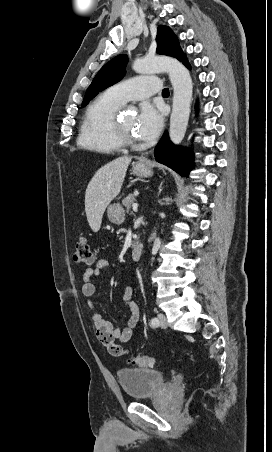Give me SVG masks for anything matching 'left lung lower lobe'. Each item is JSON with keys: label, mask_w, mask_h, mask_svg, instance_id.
I'll use <instances>...</instances> for the list:
<instances>
[{"label": "left lung lower lobe", "mask_w": 272, "mask_h": 452, "mask_svg": "<svg viewBox=\"0 0 272 452\" xmlns=\"http://www.w3.org/2000/svg\"><path fill=\"white\" fill-rule=\"evenodd\" d=\"M179 61L190 68L185 55ZM155 159L182 176H187L194 165L192 154L180 146L173 145L172 142L169 141L167 132L164 133L162 139L155 148Z\"/></svg>", "instance_id": "obj_1"}]
</instances>
